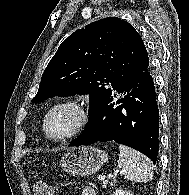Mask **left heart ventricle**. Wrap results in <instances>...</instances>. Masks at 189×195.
Segmentation results:
<instances>
[{"mask_svg":"<svg viewBox=\"0 0 189 195\" xmlns=\"http://www.w3.org/2000/svg\"><path fill=\"white\" fill-rule=\"evenodd\" d=\"M79 119V112L74 107H60L49 117L48 130L54 137L65 136L76 127Z\"/></svg>","mask_w":189,"mask_h":195,"instance_id":"b2bd125f","label":"left heart ventricle"}]
</instances>
